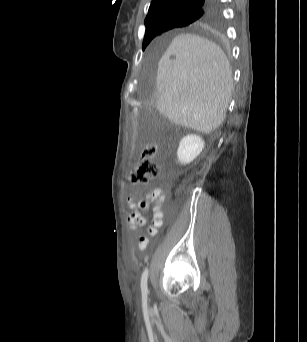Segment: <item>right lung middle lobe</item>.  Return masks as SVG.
Returning a JSON list of instances; mask_svg holds the SVG:
<instances>
[{
    "label": "right lung middle lobe",
    "instance_id": "1",
    "mask_svg": "<svg viewBox=\"0 0 307 342\" xmlns=\"http://www.w3.org/2000/svg\"><path fill=\"white\" fill-rule=\"evenodd\" d=\"M202 14L198 9H183L163 12L157 16L155 22L146 28L143 40V50L157 35L176 27L187 26L196 21Z\"/></svg>",
    "mask_w": 307,
    "mask_h": 342
}]
</instances>
